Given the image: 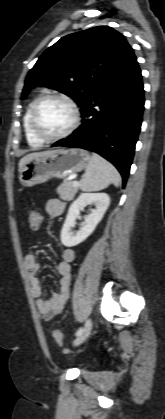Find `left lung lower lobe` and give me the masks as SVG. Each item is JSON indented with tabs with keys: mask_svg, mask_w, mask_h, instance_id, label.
<instances>
[{
	"mask_svg": "<svg viewBox=\"0 0 165 419\" xmlns=\"http://www.w3.org/2000/svg\"><path fill=\"white\" fill-rule=\"evenodd\" d=\"M144 109L141 71L135 55L107 77L81 109L82 124L52 146L94 151L119 170L125 186Z\"/></svg>",
	"mask_w": 165,
	"mask_h": 419,
	"instance_id": "obj_1",
	"label": "left lung lower lobe"
}]
</instances>
